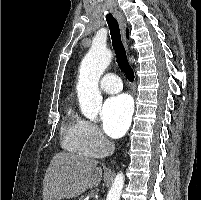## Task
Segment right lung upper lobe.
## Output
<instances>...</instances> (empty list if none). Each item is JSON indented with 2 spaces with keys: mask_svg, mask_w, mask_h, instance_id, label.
I'll return each mask as SVG.
<instances>
[{
  "mask_svg": "<svg viewBox=\"0 0 201 200\" xmlns=\"http://www.w3.org/2000/svg\"><path fill=\"white\" fill-rule=\"evenodd\" d=\"M126 35H127V37L129 36V31L128 30L126 31Z\"/></svg>",
  "mask_w": 201,
  "mask_h": 200,
  "instance_id": "cb5924a9",
  "label": "right lung upper lobe"
}]
</instances>
